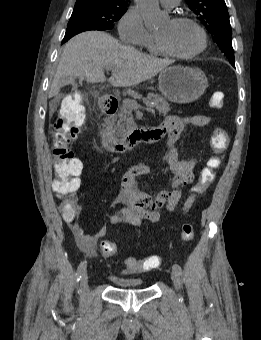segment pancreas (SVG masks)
Returning <instances> with one entry per match:
<instances>
[{
  "label": "pancreas",
  "mask_w": 261,
  "mask_h": 340,
  "mask_svg": "<svg viewBox=\"0 0 261 340\" xmlns=\"http://www.w3.org/2000/svg\"><path fill=\"white\" fill-rule=\"evenodd\" d=\"M147 99L154 103L160 115L166 116L170 111L169 103L160 95L149 93ZM132 110L127 101L124 100L120 112L116 115L117 124L115 129L118 137H126L136 127Z\"/></svg>",
  "instance_id": "obj_1"
}]
</instances>
